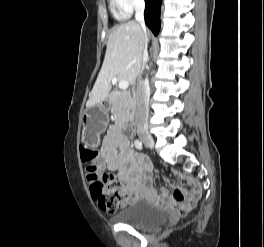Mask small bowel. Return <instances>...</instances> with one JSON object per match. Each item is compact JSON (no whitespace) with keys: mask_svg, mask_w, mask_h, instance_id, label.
Masks as SVG:
<instances>
[{"mask_svg":"<svg viewBox=\"0 0 264 247\" xmlns=\"http://www.w3.org/2000/svg\"><path fill=\"white\" fill-rule=\"evenodd\" d=\"M99 160L103 168L118 172L132 199L148 197L164 204H174L178 200L192 198L201 192L197 180L176 173L177 178L187 187L180 188L173 185V194H170L167 189H163L160 195L157 194L151 185L153 175L151 163L134 151L119 126L112 125L108 128L100 147Z\"/></svg>","mask_w":264,"mask_h":247,"instance_id":"c3829d8e","label":"small bowel"}]
</instances>
